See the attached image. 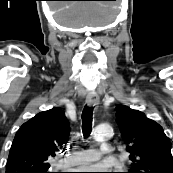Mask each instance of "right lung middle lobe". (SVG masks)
Listing matches in <instances>:
<instances>
[{
    "label": "right lung middle lobe",
    "instance_id": "right-lung-middle-lobe-1",
    "mask_svg": "<svg viewBox=\"0 0 173 173\" xmlns=\"http://www.w3.org/2000/svg\"><path fill=\"white\" fill-rule=\"evenodd\" d=\"M49 168H46V169H40V170H36V171H31L32 173H50L48 171Z\"/></svg>",
    "mask_w": 173,
    "mask_h": 173
}]
</instances>
